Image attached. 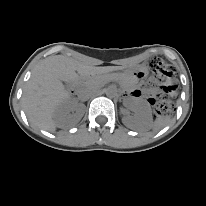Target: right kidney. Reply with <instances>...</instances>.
I'll return each instance as SVG.
<instances>
[{"instance_id": "1", "label": "right kidney", "mask_w": 206, "mask_h": 206, "mask_svg": "<svg viewBox=\"0 0 206 206\" xmlns=\"http://www.w3.org/2000/svg\"><path fill=\"white\" fill-rule=\"evenodd\" d=\"M77 111V106L71 102H64L56 111V118L58 120H65L71 117L70 112Z\"/></svg>"}]
</instances>
